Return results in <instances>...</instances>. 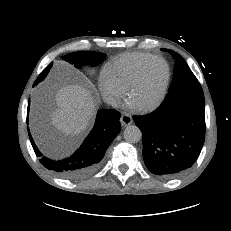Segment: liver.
I'll return each instance as SVG.
<instances>
[{
    "label": "liver",
    "mask_w": 231,
    "mask_h": 231,
    "mask_svg": "<svg viewBox=\"0 0 231 231\" xmlns=\"http://www.w3.org/2000/svg\"><path fill=\"white\" fill-rule=\"evenodd\" d=\"M56 108L49 112L50 123L65 136L82 134L90 125L96 111V100L91 86L68 84L55 93ZM31 128L42 149L48 148L43 121L37 112L32 114Z\"/></svg>",
    "instance_id": "liver-1"
}]
</instances>
